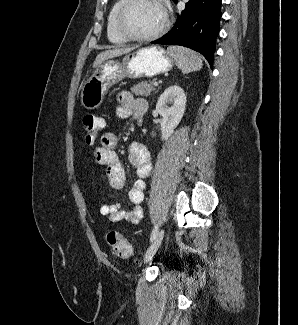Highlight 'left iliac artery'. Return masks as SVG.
Masks as SVG:
<instances>
[{
	"instance_id": "44dca946",
	"label": "left iliac artery",
	"mask_w": 298,
	"mask_h": 325,
	"mask_svg": "<svg viewBox=\"0 0 298 325\" xmlns=\"http://www.w3.org/2000/svg\"><path fill=\"white\" fill-rule=\"evenodd\" d=\"M157 232H158V226L156 225L152 230L150 241L154 240V238L156 237Z\"/></svg>"
}]
</instances>
